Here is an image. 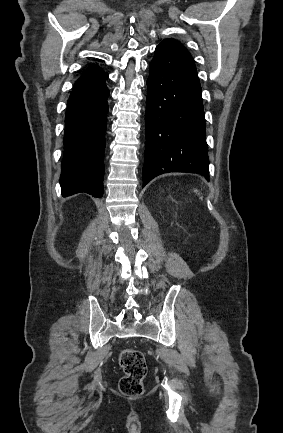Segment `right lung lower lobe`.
I'll list each match as a JSON object with an SVG mask.
<instances>
[{
  "instance_id": "right-lung-lower-lobe-1",
  "label": "right lung lower lobe",
  "mask_w": 283,
  "mask_h": 433,
  "mask_svg": "<svg viewBox=\"0 0 283 433\" xmlns=\"http://www.w3.org/2000/svg\"><path fill=\"white\" fill-rule=\"evenodd\" d=\"M107 77L106 73L77 81L69 97L60 177L63 196L79 192L94 197L103 195Z\"/></svg>"
}]
</instances>
